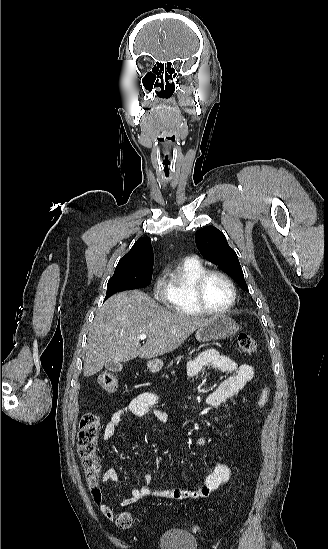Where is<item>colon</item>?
Listing matches in <instances>:
<instances>
[{
    "instance_id": "obj_1",
    "label": "colon",
    "mask_w": 328,
    "mask_h": 549,
    "mask_svg": "<svg viewBox=\"0 0 328 549\" xmlns=\"http://www.w3.org/2000/svg\"><path fill=\"white\" fill-rule=\"evenodd\" d=\"M237 344L239 351L244 355H252L257 351V343L253 337L241 333L238 335ZM98 384L105 392L113 393L118 389V378L112 371H103L98 375ZM270 390L264 388L257 400V410H262L268 403ZM100 430L99 417L93 413H86L79 426L77 437L78 454L85 472L91 496L96 503L103 498L99 485L100 464L96 455V446ZM116 525L121 529H128L133 523V516L129 511H123L115 517ZM198 527H193L197 532Z\"/></svg>"
}]
</instances>
